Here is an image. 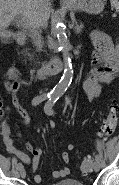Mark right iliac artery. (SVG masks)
I'll return each instance as SVG.
<instances>
[{"label":"right iliac artery","mask_w":119,"mask_h":185,"mask_svg":"<svg viewBox=\"0 0 119 185\" xmlns=\"http://www.w3.org/2000/svg\"><path fill=\"white\" fill-rule=\"evenodd\" d=\"M53 97H57V94L51 92V93H48L47 95L36 96V97H34L33 100H32V105H33V106H37V105H39L42 101H44L46 98L50 99V98H53ZM22 167H23L22 163H18V164H17V169H20V168H22Z\"/></svg>","instance_id":"obj_1"}]
</instances>
